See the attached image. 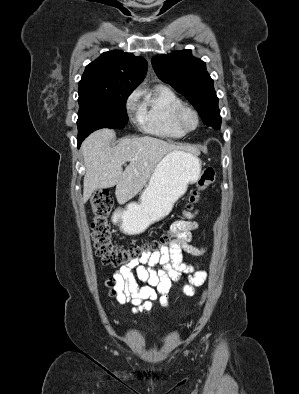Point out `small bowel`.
<instances>
[{"label": "small bowel", "instance_id": "1", "mask_svg": "<svg viewBox=\"0 0 299 394\" xmlns=\"http://www.w3.org/2000/svg\"><path fill=\"white\" fill-rule=\"evenodd\" d=\"M195 213H187L186 220H177L170 226L175 240L169 248L159 252L143 255L128 265L122 266L114 275L116 282V301L121 304L131 303L133 313H147L152 309L153 302L159 301L161 306H168L167 293L173 284L184 275L188 276V284L182 286V292L191 296L194 288L206 280V273L195 266L183 261V254L202 256L206 249L191 244L194 239L193 231L200 227L194 221ZM160 265L158 269L155 266ZM139 281L146 283L140 286ZM160 295V296H159Z\"/></svg>", "mask_w": 299, "mask_h": 394}]
</instances>
